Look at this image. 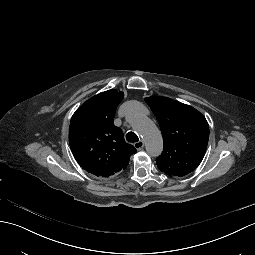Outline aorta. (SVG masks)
Wrapping results in <instances>:
<instances>
[{
    "instance_id": "1",
    "label": "aorta",
    "mask_w": 255,
    "mask_h": 255,
    "mask_svg": "<svg viewBox=\"0 0 255 255\" xmlns=\"http://www.w3.org/2000/svg\"><path fill=\"white\" fill-rule=\"evenodd\" d=\"M132 127L143 137L145 147L151 156H158L163 150L160 130L148 117L136 114L131 120Z\"/></svg>"
}]
</instances>
